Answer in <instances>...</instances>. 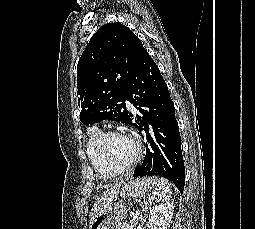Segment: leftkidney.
<instances>
[{"mask_svg": "<svg viewBox=\"0 0 255 229\" xmlns=\"http://www.w3.org/2000/svg\"><path fill=\"white\" fill-rule=\"evenodd\" d=\"M173 212L174 205L169 202L153 207L149 214L151 229H167L170 226Z\"/></svg>", "mask_w": 255, "mask_h": 229, "instance_id": "5707ae66", "label": "left kidney"}]
</instances>
